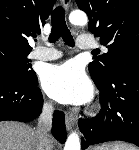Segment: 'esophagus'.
Wrapping results in <instances>:
<instances>
[{"label": "esophagus", "mask_w": 139, "mask_h": 150, "mask_svg": "<svg viewBox=\"0 0 139 150\" xmlns=\"http://www.w3.org/2000/svg\"><path fill=\"white\" fill-rule=\"evenodd\" d=\"M62 3V6L65 11L69 10L71 0H60ZM77 120V117L73 115L72 113H67L66 115V129L70 131L72 127L74 126L75 122Z\"/></svg>", "instance_id": "obj_1"}]
</instances>
